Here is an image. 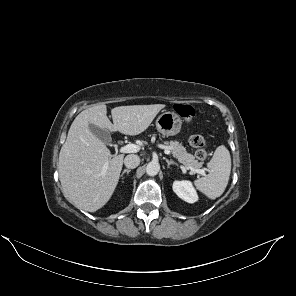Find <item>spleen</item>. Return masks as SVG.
I'll use <instances>...</instances> for the list:
<instances>
[{
    "instance_id": "3e777b00",
    "label": "spleen",
    "mask_w": 296,
    "mask_h": 296,
    "mask_svg": "<svg viewBox=\"0 0 296 296\" xmlns=\"http://www.w3.org/2000/svg\"><path fill=\"white\" fill-rule=\"evenodd\" d=\"M209 173L194 181L197 189L210 199L220 197L225 191L231 172L229 150L221 145L207 164Z\"/></svg>"
}]
</instances>
